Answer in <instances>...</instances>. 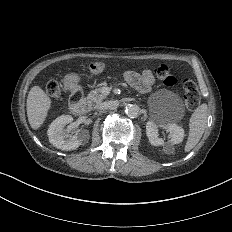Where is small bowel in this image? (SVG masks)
Instances as JSON below:
<instances>
[{
    "instance_id": "1",
    "label": "small bowel",
    "mask_w": 232,
    "mask_h": 232,
    "mask_svg": "<svg viewBox=\"0 0 232 232\" xmlns=\"http://www.w3.org/2000/svg\"><path fill=\"white\" fill-rule=\"evenodd\" d=\"M125 79L139 92L148 93L158 85V80L151 71L139 73L128 70L124 72Z\"/></svg>"
}]
</instances>
